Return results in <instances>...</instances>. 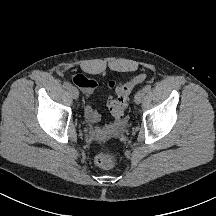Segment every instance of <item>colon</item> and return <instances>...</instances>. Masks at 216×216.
I'll use <instances>...</instances> for the list:
<instances>
[{"mask_svg":"<svg viewBox=\"0 0 216 216\" xmlns=\"http://www.w3.org/2000/svg\"><path fill=\"white\" fill-rule=\"evenodd\" d=\"M81 75L74 77L75 81H79ZM145 80L144 74L134 76L131 80L121 83L116 87V99L109 102V109L113 117L118 121L124 120L125 109L129 95L131 94L134 87ZM110 87H114V82L109 83ZM95 164L103 169L111 168L116 163V156L109 152H101L95 156Z\"/></svg>","mask_w":216,"mask_h":216,"instance_id":"colon-1","label":"colon"}]
</instances>
